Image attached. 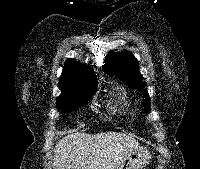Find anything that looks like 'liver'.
Returning <instances> with one entry per match:
<instances>
[{
    "label": "liver",
    "instance_id": "liver-1",
    "mask_svg": "<svg viewBox=\"0 0 200 169\" xmlns=\"http://www.w3.org/2000/svg\"><path fill=\"white\" fill-rule=\"evenodd\" d=\"M140 148L134 138L107 132L68 134L57 142L53 169H117L127 154Z\"/></svg>",
    "mask_w": 200,
    "mask_h": 169
}]
</instances>
